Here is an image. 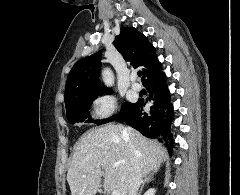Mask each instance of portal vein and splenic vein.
I'll return each mask as SVG.
<instances>
[{"instance_id": "portal-vein-and-splenic-vein-1", "label": "portal vein and splenic vein", "mask_w": 240, "mask_h": 195, "mask_svg": "<svg viewBox=\"0 0 240 195\" xmlns=\"http://www.w3.org/2000/svg\"><path fill=\"white\" fill-rule=\"evenodd\" d=\"M83 177H86V175H83ZM111 195H121V193L118 191V189H113Z\"/></svg>"}]
</instances>
